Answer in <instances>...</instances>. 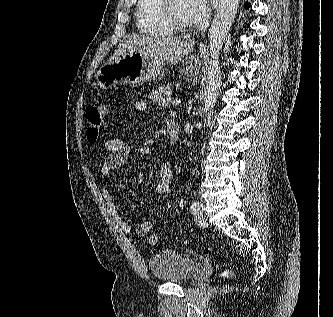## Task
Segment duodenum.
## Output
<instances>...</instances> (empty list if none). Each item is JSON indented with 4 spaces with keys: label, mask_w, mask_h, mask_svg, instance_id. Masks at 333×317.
<instances>
[{
    "label": "duodenum",
    "mask_w": 333,
    "mask_h": 317,
    "mask_svg": "<svg viewBox=\"0 0 333 317\" xmlns=\"http://www.w3.org/2000/svg\"><path fill=\"white\" fill-rule=\"evenodd\" d=\"M167 131L170 137V141L172 144L177 143L180 138V125L175 121L167 122Z\"/></svg>",
    "instance_id": "obj_1"
}]
</instances>
